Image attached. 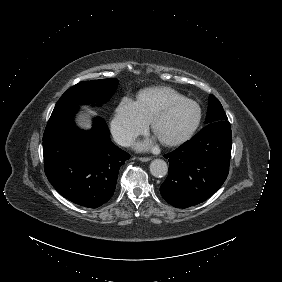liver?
<instances>
[{
  "label": "liver",
  "instance_id": "liver-1",
  "mask_svg": "<svg viewBox=\"0 0 282 282\" xmlns=\"http://www.w3.org/2000/svg\"><path fill=\"white\" fill-rule=\"evenodd\" d=\"M89 112L92 113V111H89ZM77 122H78V125L82 128L88 129L91 127L90 120L87 115H80L77 118Z\"/></svg>",
  "mask_w": 282,
  "mask_h": 282
}]
</instances>
